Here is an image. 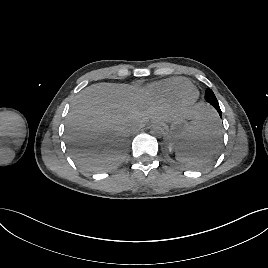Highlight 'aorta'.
<instances>
[{
  "label": "aorta",
  "mask_w": 268,
  "mask_h": 268,
  "mask_svg": "<svg viewBox=\"0 0 268 268\" xmlns=\"http://www.w3.org/2000/svg\"><path fill=\"white\" fill-rule=\"evenodd\" d=\"M151 134L153 135V136H155V137H161L163 134H164V132H165V130H164V128L163 127H161V126H155V127H153L152 129H151Z\"/></svg>",
  "instance_id": "762f6f07"
}]
</instances>
